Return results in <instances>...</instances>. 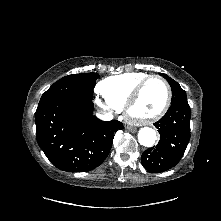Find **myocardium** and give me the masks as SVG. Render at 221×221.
<instances>
[{"label":"myocardium","mask_w":221,"mask_h":221,"mask_svg":"<svg viewBox=\"0 0 221 221\" xmlns=\"http://www.w3.org/2000/svg\"><path fill=\"white\" fill-rule=\"evenodd\" d=\"M152 79L160 80L165 86L166 98H165L164 104L159 111H157L155 114H153L151 116L143 117V118L135 117L132 114V109H133L134 105L136 104V102L138 101L143 88ZM171 99H172V91H171V87H170L169 83L167 82V80L164 79L160 75H148L134 88V90L130 94L129 98L127 99V101L124 105V113H125L127 120L131 124L139 125V126L152 124L153 122L160 119L166 113V111L168 110V108L171 104Z\"/></svg>","instance_id":"myocardium-1"}]
</instances>
